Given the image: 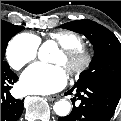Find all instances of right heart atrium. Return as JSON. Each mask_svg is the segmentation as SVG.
<instances>
[{
    "instance_id": "1",
    "label": "right heart atrium",
    "mask_w": 121,
    "mask_h": 121,
    "mask_svg": "<svg viewBox=\"0 0 121 121\" xmlns=\"http://www.w3.org/2000/svg\"><path fill=\"white\" fill-rule=\"evenodd\" d=\"M39 40L29 34L15 35L8 43L6 57L10 66L21 69L33 61L38 53Z\"/></svg>"
}]
</instances>
